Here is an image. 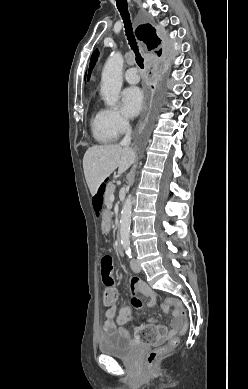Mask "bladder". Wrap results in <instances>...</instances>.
Returning <instances> with one entry per match:
<instances>
[{
  "instance_id": "1",
  "label": "bladder",
  "mask_w": 248,
  "mask_h": 389,
  "mask_svg": "<svg viewBox=\"0 0 248 389\" xmlns=\"http://www.w3.org/2000/svg\"><path fill=\"white\" fill-rule=\"evenodd\" d=\"M101 354L120 359H130L137 350V345L129 338L113 333L104 336L98 344Z\"/></svg>"
}]
</instances>
